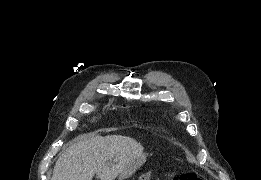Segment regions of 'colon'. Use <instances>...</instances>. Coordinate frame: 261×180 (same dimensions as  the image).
<instances>
[{
	"mask_svg": "<svg viewBox=\"0 0 261 180\" xmlns=\"http://www.w3.org/2000/svg\"><path fill=\"white\" fill-rule=\"evenodd\" d=\"M175 180H200V177L195 173H182L174 176Z\"/></svg>",
	"mask_w": 261,
	"mask_h": 180,
	"instance_id": "colon-1",
	"label": "colon"
}]
</instances>
